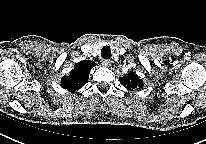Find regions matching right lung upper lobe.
Returning <instances> with one entry per match:
<instances>
[{"instance_id": "1", "label": "right lung upper lobe", "mask_w": 206, "mask_h": 144, "mask_svg": "<svg viewBox=\"0 0 206 144\" xmlns=\"http://www.w3.org/2000/svg\"><path fill=\"white\" fill-rule=\"evenodd\" d=\"M94 64L95 63L90 60L78 62L70 72V75H65L62 78L61 86L71 92L80 89L87 83L90 70L93 68Z\"/></svg>"}]
</instances>
